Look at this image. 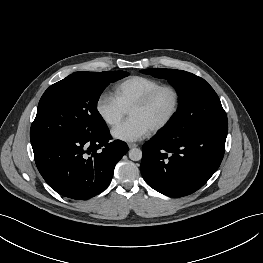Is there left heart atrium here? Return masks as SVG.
I'll return each instance as SVG.
<instances>
[{
  "instance_id": "39dd6f15",
  "label": "left heart atrium",
  "mask_w": 263,
  "mask_h": 263,
  "mask_svg": "<svg viewBox=\"0 0 263 263\" xmlns=\"http://www.w3.org/2000/svg\"><path fill=\"white\" fill-rule=\"evenodd\" d=\"M151 129L138 118H129L112 130V136L115 139L134 142L147 136Z\"/></svg>"
}]
</instances>
